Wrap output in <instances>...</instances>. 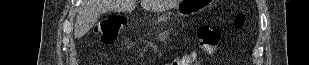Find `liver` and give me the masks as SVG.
<instances>
[{"mask_svg": "<svg viewBox=\"0 0 309 65\" xmlns=\"http://www.w3.org/2000/svg\"><path fill=\"white\" fill-rule=\"evenodd\" d=\"M169 0H141V6L150 11L160 12L171 6ZM136 0H81V4L74 24L75 38L83 37L107 12L132 11Z\"/></svg>", "mask_w": 309, "mask_h": 65, "instance_id": "obj_1", "label": "liver"}]
</instances>
